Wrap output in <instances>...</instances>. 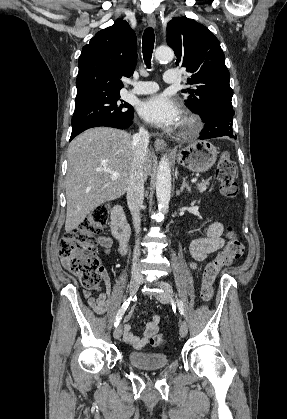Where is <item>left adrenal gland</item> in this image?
Wrapping results in <instances>:
<instances>
[{"label":"left adrenal gland","instance_id":"a2214340","mask_svg":"<svg viewBox=\"0 0 287 419\" xmlns=\"http://www.w3.org/2000/svg\"><path fill=\"white\" fill-rule=\"evenodd\" d=\"M184 189H186L188 192H190V191H191L190 186H189V184L186 182L185 177L183 178L182 185H181V187H180V191H179V193H182Z\"/></svg>","mask_w":287,"mask_h":419}]
</instances>
